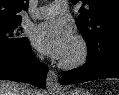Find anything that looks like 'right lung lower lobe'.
Masks as SVG:
<instances>
[{
	"label": "right lung lower lobe",
	"mask_w": 119,
	"mask_h": 95,
	"mask_svg": "<svg viewBox=\"0 0 119 95\" xmlns=\"http://www.w3.org/2000/svg\"><path fill=\"white\" fill-rule=\"evenodd\" d=\"M48 67L40 63L26 38L21 44L0 47V79L46 87Z\"/></svg>",
	"instance_id": "98d812e1"
}]
</instances>
